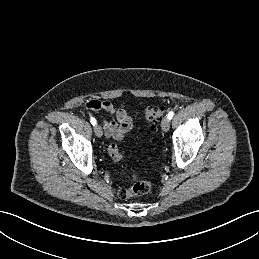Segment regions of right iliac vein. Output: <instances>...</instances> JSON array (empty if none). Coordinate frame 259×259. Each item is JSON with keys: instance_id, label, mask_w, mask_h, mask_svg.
<instances>
[{"instance_id": "right-iliac-vein-1", "label": "right iliac vein", "mask_w": 259, "mask_h": 259, "mask_svg": "<svg viewBox=\"0 0 259 259\" xmlns=\"http://www.w3.org/2000/svg\"><path fill=\"white\" fill-rule=\"evenodd\" d=\"M94 132H95V134H96V136H97L98 138H101L102 135H103V131H102V128H101L100 125H95V126H94Z\"/></svg>"}]
</instances>
